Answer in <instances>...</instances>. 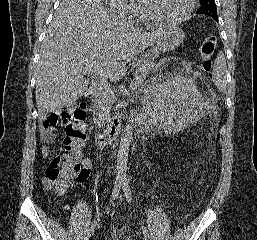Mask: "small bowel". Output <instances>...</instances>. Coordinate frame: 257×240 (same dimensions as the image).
Here are the masks:
<instances>
[{"label":"small bowel","mask_w":257,"mask_h":240,"mask_svg":"<svg viewBox=\"0 0 257 240\" xmlns=\"http://www.w3.org/2000/svg\"><path fill=\"white\" fill-rule=\"evenodd\" d=\"M42 139H43V142L45 144H48V143H50L53 140L52 138L47 137L45 132L43 133ZM49 152H50V149H49L48 146H44L42 148L41 153H42V155L44 157H46L49 154ZM81 164H82L83 168L85 169V174L83 176L78 177V181L80 183H82V182L87 180V178L89 177L90 168H91V163H90V161L88 159H84Z\"/></svg>","instance_id":"c3829d8e"}]
</instances>
